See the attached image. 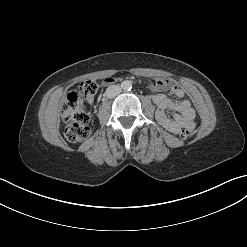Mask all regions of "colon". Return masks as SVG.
I'll return each instance as SVG.
<instances>
[{"instance_id": "1", "label": "colon", "mask_w": 247, "mask_h": 247, "mask_svg": "<svg viewBox=\"0 0 247 247\" xmlns=\"http://www.w3.org/2000/svg\"><path fill=\"white\" fill-rule=\"evenodd\" d=\"M98 90V84L93 80L80 83L78 89L67 94L62 102L61 114L65 124L64 135L70 142H80L90 135L89 117L81 105L83 98L92 97ZM191 131L182 129L180 136L186 139Z\"/></svg>"}]
</instances>
